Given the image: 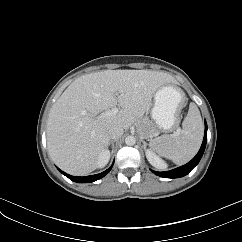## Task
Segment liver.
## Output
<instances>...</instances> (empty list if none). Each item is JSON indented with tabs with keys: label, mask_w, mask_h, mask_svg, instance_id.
I'll return each instance as SVG.
<instances>
[{
	"label": "liver",
	"mask_w": 242,
	"mask_h": 242,
	"mask_svg": "<svg viewBox=\"0 0 242 242\" xmlns=\"http://www.w3.org/2000/svg\"><path fill=\"white\" fill-rule=\"evenodd\" d=\"M176 83L169 74L150 70H104L77 78L52 106L47 146L65 172L82 176L97 168L110 142L109 129H128L144 116L155 92ZM119 105L115 115H102Z\"/></svg>",
	"instance_id": "1"
}]
</instances>
